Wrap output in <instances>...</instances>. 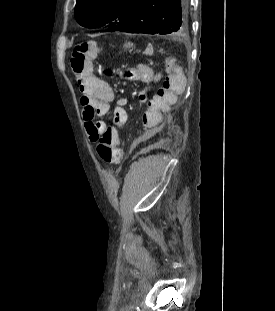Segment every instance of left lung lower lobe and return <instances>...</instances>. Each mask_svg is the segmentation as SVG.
Returning a JSON list of instances; mask_svg holds the SVG:
<instances>
[{"label":"left lung lower lobe","mask_w":275,"mask_h":311,"mask_svg":"<svg viewBox=\"0 0 275 311\" xmlns=\"http://www.w3.org/2000/svg\"><path fill=\"white\" fill-rule=\"evenodd\" d=\"M188 0H142L134 14L114 31L179 34L188 29Z\"/></svg>","instance_id":"0a47b994"}]
</instances>
